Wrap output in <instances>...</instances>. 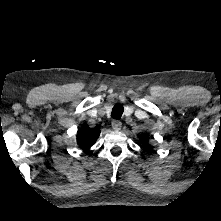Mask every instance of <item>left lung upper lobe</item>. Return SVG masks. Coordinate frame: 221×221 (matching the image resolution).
Segmentation results:
<instances>
[{
  "label": "left lung upper lobe",
  "mask_w": 221,
  "mask_h": 221,
  "mask_svg": "<svg viewBox=\"0 0 221 221\" xmlns=\"http://www.w3.org/2000/svg\"><path fill=\"white\" fill-rule=\"evenodd\" d=\"M142 144H143V148L146 150V151H149L151 149V146L149 145L148 143V138L147 137H141L140 138Z\"/></svg>",
  "instance_id": "5c2ea615"
}]
</instances>
